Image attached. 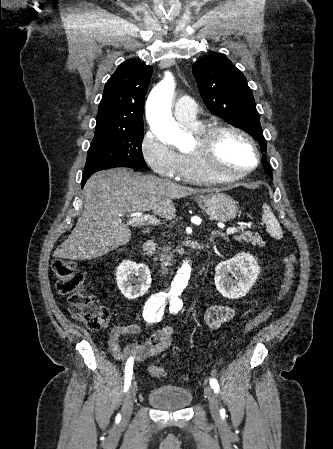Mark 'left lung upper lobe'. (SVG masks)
Here are the masks:
<instances>
[{"instance_id":"obj_1","label":"left lung upper lobe","mask_w":333,"mask_h":449,"mask_svg":"<svg viewBox=\"0 0 333 449\" xmlns=\"http://www.w3.org/2000/svg\"><path fill=\"white\" fill-rule=\"evenodd\" d=\"M192 70L209 111L241 127L260 144L262 152H266L259 113L244 75L219 53L197 60Z\"/></svg>"}]
</instances>
